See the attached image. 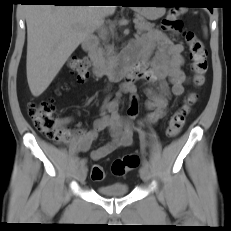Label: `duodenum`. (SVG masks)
I'll list each match as a JSON object with an SVG mask.
<instances>
[{"label": "duodenum", "instance_id": "1", "mask_svg": "<svg viewBox=\"0 0 231 231\" xmlns=\"http://www.w3.org/2000/svg\"><path fill=\"white\" fill-rule=\"evenodd\" d=\"M83 48L90 54L93 73L97 76L110 75L115 81H119L132 74L139 62V51L133 50L126 52L119 61L106 65L96 50L97 40L93 37L88 38L83 43Z\"/></svg>", "mask_w": 231, "mask_h": 231}]
</instances>
